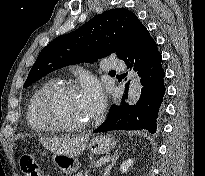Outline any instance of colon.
I'll return each mask as SVG.
<instances>
[{
	"label": "colon",
	"instance_id": "1",
	"mask_svg": "<svg viewBox=\"0 0 205 176\" xmlns=\"http://www.w3.org/2000/svg\"><path fill=\"white\" fill-rule=\"evenodd\" d=\"M20 167L24 176H43L42 163L31 156H24Z\"/></svg>",
	"mask_w": 205,
	"mask_h": 176
}]
</instances>
